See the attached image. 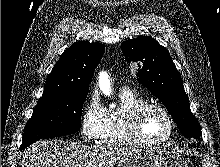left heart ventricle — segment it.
<instances>
[{
  "label": "left heart ventricle",
  "instance_id": "obj_1",
  "mask_svg": "<svg viewBox=\"0 0 220 167\" xmlns=\"http://www.w3.org/2000/svg\"><path fill=\"white\" fill-rule=\"evenodd\" d=\"M141 130L150 140H159L169 133V124L166 117L156 109H150L142 119Z\"/></svg>",
  "mask_w": 220,
  "mask_h": 167
}]
</instances>
